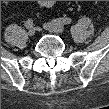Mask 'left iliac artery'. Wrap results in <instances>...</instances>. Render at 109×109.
Here are the masks:
<instances>
[{
    "label": "left iliac artery",
    "mask_w": 109,
    "mask_h": 109,
    "mask_svg": "<svg viewBox=\"0 0 109 109\" xmlns=\"http://www.w3.org/2000/svg\"><path fill=\"white\" fill-rule=\"evenodd\" d=\"M52 22L56 24L67 25V24H70L72 20L70 18L64 17V18L54 19Z\"/></svg>",
    "instance_id": "44dca946"
}]
</instances>
